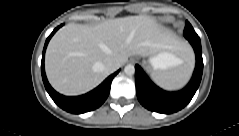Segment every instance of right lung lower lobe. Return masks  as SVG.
<instances>
[{"mask_svg":"<svg viewBox=\"0 0 239 136\" xmlns=\"http://www.w3.org/2000/svg\"><path fill=\"white\" fill-rule=\"evenodd\" d=\"M63 25V24H62ZM58 26L53 30V32L50 34V36L47 38L43 54H42V61H41V73H42V79L44 86L52 98V100L63 110L74 113V114H81L85 112H89L92 110L97 109L100 107L105 100L107 99L110 88H111V82L113 78L118 74L119 70L115 72L114 74L110 75L108 78L104 80L97 88L94 90L88 92L87 94L81 95V96H74V97H68L63 96L59 93H57L49 84L44 70V56H45V50L47 47V44L52 37V35L62 26Z\"/></svg>","mask_w":239,"mask_h":136,"instance_id":"98d812e1","label":"right lung lower lobe"}]
</instances>
